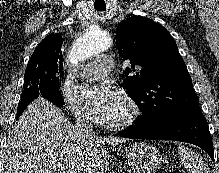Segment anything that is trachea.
<instances>
[{
	"label": "trachea",
	"instance_id": "3493384b",
	"mask_svg": "<svg viewBox=\"0 0 219 173\" xmlns=\"http://www.w3.org/2000/svg\"><path fill=\"white\" fill-rule=\"evenodd\" d=\"M95 9L97 11H104L106 9V7H95Z\"/></svg>",
	"mask_w": 219,
	"mask_h": 173
}]
</instances>
